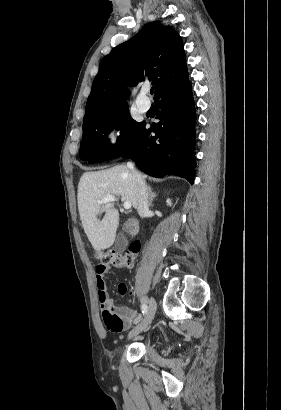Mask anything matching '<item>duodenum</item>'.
Here are the masks:
<instances>
[{"instance_id": "1", "label": "duodenum", "mask_w": 281, "mask_h": 410, "mask_svg": "<svg viewBox=\"0 0 281 410\" xmlns=\"http://www.w3.org/2000/svg\"><path fill=\"white\" fill-rule=\"evenodd\" d=\"M134 224H135V219H134L133 217H129V218L127 219L126 226H127V227H131V226L134 225Z\"/></svg>"}]
</instances>
